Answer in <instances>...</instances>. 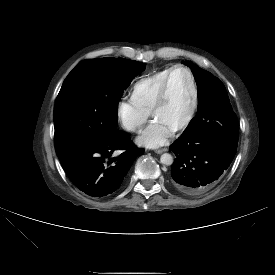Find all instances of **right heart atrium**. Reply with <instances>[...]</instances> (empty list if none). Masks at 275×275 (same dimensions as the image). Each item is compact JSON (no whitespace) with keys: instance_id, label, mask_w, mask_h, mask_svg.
Returning a JSON list of instances; mask_svg holds the SVG:
<instances>
[{"instance_id":"1","label":"right heart atrium","mask_w":275,"mask_h":275,"mask_svg":"<svg viewBox=\"0 0 275 275\" xmlns=\"http://www.w3.org/2000/svg\"><path fill=\"white\" fill-rule=\"evenodd\" d=\"M115 113L121 127L128 132L140 130L150 115V111L139 106L132 98H121L116 104Z\"/></svg>"}]
</instances>
